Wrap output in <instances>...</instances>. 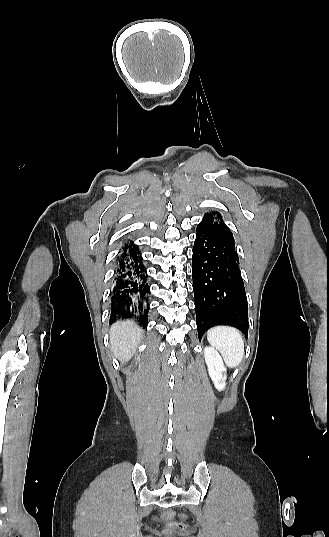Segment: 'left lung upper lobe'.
I'll return each mask as SVG.
<instances>
[{
    "label": "left lung upper lobe",
    "mask_w": 329,
    "mask_h": 537,
    "mask_svg": "<svg viewBox=\"0 0 329 537\" xmlns=\"http://www.w3.org/2000/svg\"><path fill=\"white\" fill-rule=\"evenodd\" d=\"M202 221L213 226L214 228L219 230L221 233H223L224 235L234 240L232 232L223 222L222 216L220 215L219 212H216V213L212 212V214L207 213Z\"/></svg>",
    "instance_id": "obj_1"
}]
</instances>
